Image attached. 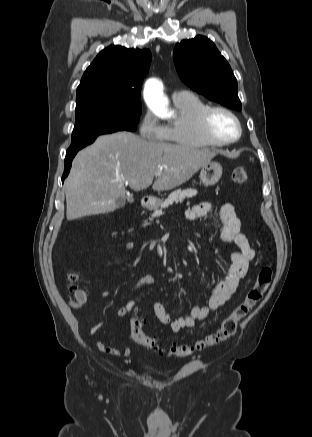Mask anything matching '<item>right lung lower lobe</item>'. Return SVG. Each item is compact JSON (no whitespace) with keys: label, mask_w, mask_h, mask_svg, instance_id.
Returning <instances> with one entry per match:
<instances>
[{"label":"right lung lower lobe","mask_w":312,"mask_h":437,"mask_svg":"<svg viewBox=\"0 0 312 437\" xmlns=\"http://www.w3.org/2000/svg\"><path fill=\"white\" fill-rule=\"evenodd\" d=\"M76 153L77 152L67 154V156L65 157V161H64V173H63V176H62V182L64 181V179L68 176V174L70 172V168H71V165H72V159L74 158Z\"/></svg>","instance_id":"right-lung-lower-lobe-1"}]
</instances>
